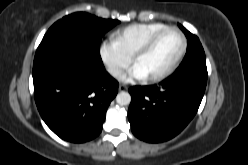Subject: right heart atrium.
<instances>
[{"instance_id": "obj_1", "label": "right heart atrium", "mask_w": 248, "mask_h": 165, "mask_svg": "<svg viewBox=\"0 0 248 165\" xmlns=\"http://www.w3.org/2000/svg\"><path fill=\"white\" fill-rule=\"evenodd\" d=\"M99 54L106 70L115 78L120 77L132 62V57L114 39L103 41Z\"/></svg>"}]
</instances>
